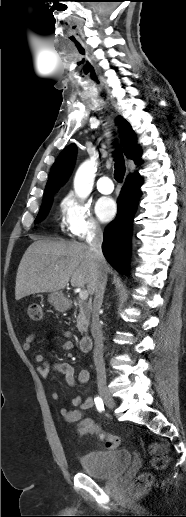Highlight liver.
<instances>
[{
	"instance_id": "1",
	"label": "liver",
	"mask_w": 186,
	"mask_h": 517,
	"mask_svg": "<svg viewBox=\"0 0 186 517\" xmlns=\"http://www.w3.org/2000/svg\"><path fill=\"white\" fill-rule=\"evenodd\" d=\"M105 271L109 272L107 263ZM96 261L90 247L79 242L38 240L24 253L16 275L15 299L35 293L84 287L94 293Z\"/></svg>"
}]
</instances>
